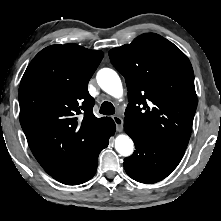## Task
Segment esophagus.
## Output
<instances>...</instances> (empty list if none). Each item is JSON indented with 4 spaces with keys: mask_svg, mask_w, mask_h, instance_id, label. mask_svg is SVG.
I'll return each instance as SVG.
<instances>
[{
    "mask_svg": "<svg viewBox=\"0 0 221 221\" xmlns=\"http://www.w3.org/2000/svg\"><path fill=\"white\" fill-rule=\"evenodd\" d=\"M112 119L116 124L117 131L121 132L123 129V119L119 116H112Z\"/></svg>",
    "mask_w": 221,
    "mask_h": 221,
    "instance_id": "obj_1",
    "label": "esophagus"
}]
</instances>
